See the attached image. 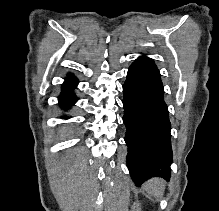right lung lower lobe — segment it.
<instances>
[{
  "label": "right lung lower lobe",
  "mask_w": 219,
  "mask_h": 211,
  "mask_svg": "<svg viewBox=\"0 0 219 211\" xmlns=\"http://www.w3.org/2000/svg\"><path fill=\"white\" fill-rule=\"evenodd\" d=\"M78 81L71 74L65 79L64 84L62 85V92L58 100L60 106L63 109H69L76 101L77 98L73 93L74 88L77 86ZM65 119L69 118L68 116L64 117Z\"/></svg>",
  "instance_id": "right-lung-lower-lobe-1"
}]
</instances>
